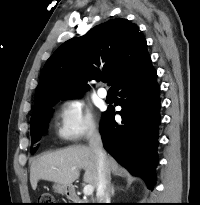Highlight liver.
<instances>
[{
	"label": "liver",
	"mask_w": 200,
	"mask_h": 205,
	"mask_svg": "<svg viewBox=\"0 0 200 205\" xmlns=\"http://www.w3.org/2000/svg\"><path fill=\"white\" fill-rule=\"evenodd\" d=\"M107 161L110 171L118 174L117 162L110 156H107ZM97 167L96 155L90 147L73 146L38 156L30 167V183L33 189L41 179L71 186L79 178L80 170L84 169V182L97 187Z\"/></svg>",
	"instance_id": "obj_1"
}]
</instances>
